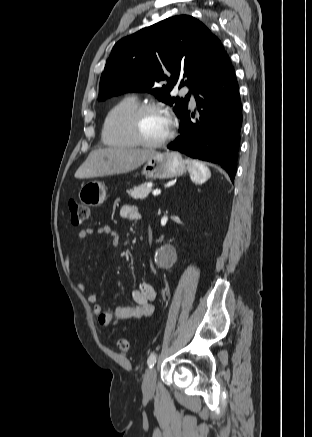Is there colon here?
Masks as SVG:
<instances>
[{
    "label": "colon",
    "instance_id": "5ec220e1",
    "mask_svg": "<svg viewBox=\"0 0 312 437\" xmlns=\"http://www.w3.org/2000/svg\"><path fill=\"white\" fill-rule=\"evenodd\" d=\"M70 211V219L73 225H80L88 215L87 206L77 202L76 200H70L68 203ZM118 348L122 352H129L132 349L131 343L124 338L118 340Z\"/></svg>",
    "mask_w": 312,
    "mask_h": 437
}]
</instances>
